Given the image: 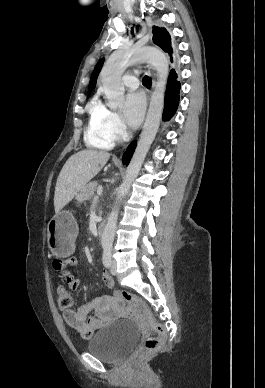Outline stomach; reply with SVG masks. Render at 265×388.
Instances as JSON below:
<instances>
[{
  "label": "stomach",
  "mask_w": 265,
  "mask_h": 388,
  "mask_svg": "<svg viewBox=\"0 0 265 388\" xmlns=\"http://www.w3.org/2000/svg\"><path fill=\"white\" fill-rule=\"evenodd\" d=\"M47 232L48 246L54 255L67 257L73 253L78 226L70 211H62L55 215L48 223Z\"/></svg>",
  "instance_id": "1"
}]
</instances>
